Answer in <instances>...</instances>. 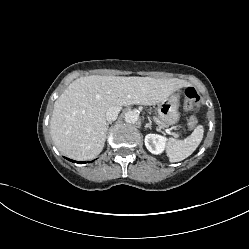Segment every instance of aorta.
Listing matches in <instances>:
<instances>
[{"label":"aorta","instance_id":"762f6f07","mask_svg":"<svg viewBox=\"0 0 249 249\" xmlns=\"http://www.w3.org/2000/svg\"><path fill=\"white\" fill-rule=\"evenodd\" d=\"M124 118L126 123L134 124L138 120V113L133 110L127 111Z\"/></svg>","mask_w":249,"mask_h":249}]
</instances>
